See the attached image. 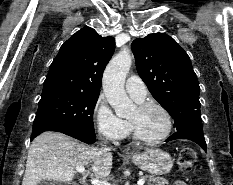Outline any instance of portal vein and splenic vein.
I'll use <instances>...</instances> for the list:
<instances>
[{"mask_svg":"<svg viewBox=\"0 0 233 185\" xmlns=\"http://www.w3.org/2000/svg\"><path fill=\"white\" fill-rule=\"evenodd\" d=\"M76 171L79 173L84 174L85 173V167L84 166H76ZM92 185H111L110 183L98 179H92L91 180ZM145 180L139 179L137 182V185H144Z\"/></svg>","mask_w":233,"mask_h":185,"instance_id":"portal-vein-and-splenic-vein-1","label":"portal vein and splenic vein"}]
</instances>
